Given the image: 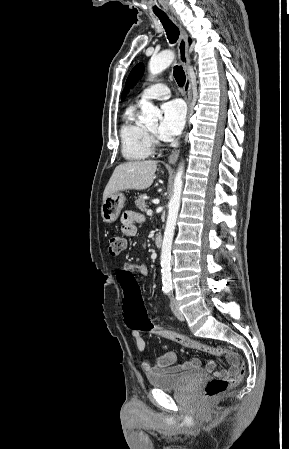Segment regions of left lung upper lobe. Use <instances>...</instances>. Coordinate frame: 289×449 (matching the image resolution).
Returning <instances> with one entry per match:
<instances>
[{"label": "left lung upper lobe", "mask_w": 289, "mask_h": 449, "mask_svg": "<svg viewBox=\"0 0 289 449\" xmlns=\"http://www.w3.org/2000/svg\"><path fill=\"white\" fill-rule=\"evenodd\" d=\"M144 66L143 64L136 65L132 71L130 72L127 81H126V88H124L122 93V99L126 96V94L129 92V88H132L137 81L140 79V77L143 74Z\"/></svg>", "instance_id": "5c2ea615"}]
</instances>
